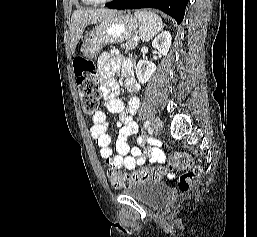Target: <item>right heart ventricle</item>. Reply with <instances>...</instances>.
I'll use <instances>...</instances> for the list:
<instances>
[{
	"instance_id": "right-heart-ventricle-1",
	"label": "right heart ventricle",
	"mask_w": 257,
	"mask_h": 237,
	"mask_svg": "<svg viewBox=\"0 0 257 237\" xmlns=\"http://www.w3.org/2000/svg\"><path fill=\"white\" fill-rule=\"evenodd\" d=\"M82 1V3L84 4V5H91V3L89 2V0H81Z\"/></svg>"
}]
</instances>
